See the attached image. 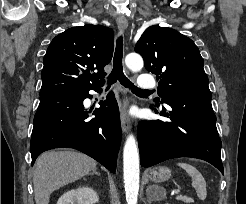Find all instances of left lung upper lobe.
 Returning <instances> with one entry per match:
<instances>
[{
    "instance_id": "1",
    "label": "left lung upper lobe",
    "mask_w": 246,
    "mask_h": 204,
    "mask_svg": "<svg viewBox=\"0 0 246 204\" xmlns=\"http://www.w3.org/2000/svg\"><path fill=\"white\" fill-rule=\"evenodd\" d=\"M135 51L143 57L147 71L157 75L161 102L176 96L212 97L204 61L188 37L171 28L150 26L137 42Z\"/></svg>"
}]
</instances>
